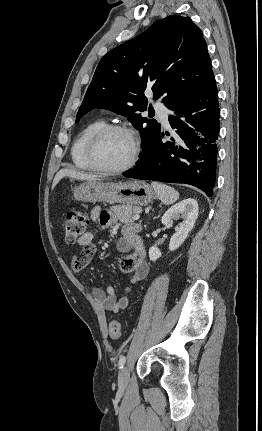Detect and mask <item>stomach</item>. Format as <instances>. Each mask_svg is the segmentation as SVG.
Wrapping results in <instances>:
<instances>
[{"mask_svg":"<svg viewBox=\"0 0 262 431\" xmlns=\"http://www.w3.org/2000/svg\"><path fill=\"white\" fill-rule=\"evenodd\" d=\"M156 197L154 189L145 181L103 182L86 181L73 189V198L83 202L120 203L143 206Z\"/></svg>","mask_w":262,"mask_h":431,"instance_id":"0dacf381","label":"stomach"}]
</instances>
